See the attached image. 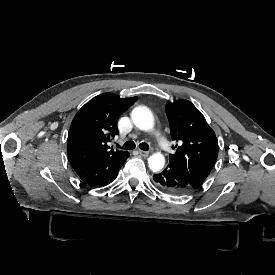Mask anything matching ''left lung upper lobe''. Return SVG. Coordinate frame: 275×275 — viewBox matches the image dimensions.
I'll return each mask as SVG.
<instances>
[{"mask_svg":"<svg viewBox=\"0 0 275 275\" xmlns=\"http://www.w3.org/2000/svg\"><path fill=\"white\" fill-rule=\"evenodd\" d=\"M173 148L168 164L195 189L209 175L218 155V140L201 112L188 100L166 104Z\"/></svg>","mask_w":275,"mask_h":275,"instance_id":"5c2ea615","label":"left lung upper lobe"}]
</instances>
